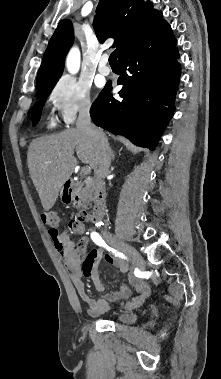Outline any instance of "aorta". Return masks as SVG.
Segmentation results:
<instances>
[{
	"label": "aorta",
	"mask_w": 221,
	"mask_h": 379,
	"mask_svg": "<svg viewBox=\"0 0 221 379\" xmlns=\"http://www.w3.org/2000/svg\"><path fill=\"white\" fill-rule=\"evenodd\" d=\"M67 69L70 73H76L80 66V53L77 48H73L66 61Z\"/></svg>",
	"instance_id": "obj_1"
}]
</instances>
